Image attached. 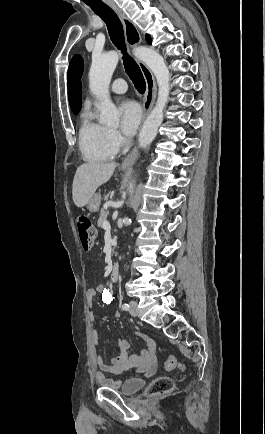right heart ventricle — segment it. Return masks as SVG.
<instances>
[{
  "mask_svg": "<svg viewBox=\"0 0 265 434\" xmlns=\"http://www.w3.org/2000/svg\"><path fill=\"white\" fill-rule=\"evenodd\" d=\"M79 147L83 158L88 163L112 161L117 151H111L105 142V126L95 120L90 105H84L78 114Z\"/></svg>",
  "mask_w": 265,
  "mask_h": 434,
  "instance_id": "e07e8e85",
  "label": "right heart ventricle"
}]
</instances>
